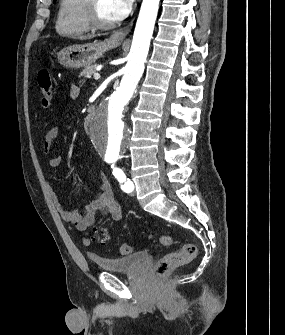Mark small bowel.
Masks as SVG:
<instances>
[{
    "label": "small bowel",
    "mask_w": 285,
    "mask_h": 335,
    "mask_svg": "<svg viewBox=\"0 0 285 335\" xmlns=\"http://www.w3.org/2000/svg\"><path fill=\"white\" fill-rule=\"evenodd\" d=\"M79 89L73 86L70 90V97H76ZM59 135V128L53 127L46 132L43 150L49 154L52 152L54 143ZM62 159L59 156H53L49 159V166L51 168H57L61 165ZM98 184L95 188L93 198L81 211L70 210L65 208L60 202L57 194L51 189V197L55 203L61 218L73 225L78 231H85L92 227L98 217L109 216L115 221H119L123 217V207L116 200L111 186L107 178L100 174L98 176ZM85 244L89 243V239L83 238Z\"/></svg>",
    "instance_id": "obj_1"
}]
</instances>
